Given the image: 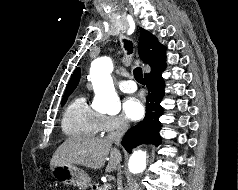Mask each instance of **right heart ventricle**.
Segmentation results:
<instances>
[{
  "label": "right heart ventricle",
  "mask_w": 238,
  "mask_h": 190,
  "mask_svg": "<svg viewBox=\"0 0 238 190\" xmlns=\"http://www.w3.org/2000/svg\"><path fill=\"white\" fill-rule=\"evenodd\" d=\"M62 129L69 136H97L102 131V114L87 103L85 96L78 95L64 112Z\"/></svg>",
  "instance_id": "right-heart-ventricle-1"
}]
</instances>
